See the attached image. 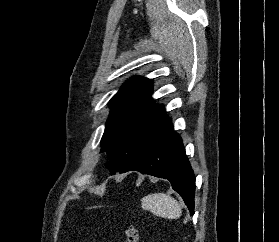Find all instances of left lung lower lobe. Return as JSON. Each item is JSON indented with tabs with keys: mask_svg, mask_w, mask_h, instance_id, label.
Instances as JSON below:
<instances>
[{
	"mask_svg": "<svg viewBox=\"0 0 279 242\" xmlns=\"http://www.w3.org/2000/svg\"><path fill=\"white\" fill-rule=\"evenodd\" d=\"M131 170L169 180L172 188L183 198L190 215L194 214L195 177L181 137L173 129L132 161L124 172Z\"/></svg>",
	"mask_w": 279,
	"mask_h": 242,
	"instance_id": "0a47b994",
	"label": "left lung lower lobe"
}]
</instances>
